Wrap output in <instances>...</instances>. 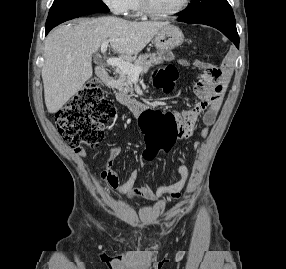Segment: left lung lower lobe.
<instances>
[{
  "mask_svg": "<svg viewBox=\"0 0 286 269\" xmlns=\"http://www.w3.org/2000/svg\"><path fill=\"white\" fill-rule=\"evenodd\" d=\"M178 21H183L186 23L194 24L201 23L205 25L212 26L220 30L226 37H228L237 48H239V36L236 29V23L218 21V20H197V21H186L181 18H178Z\"/></svg>",
  "mask_w": 286,
  "mask_h": 269,
  "instance_id": "1",
  "label": "left lung lower lobe"
}]
</instances>
